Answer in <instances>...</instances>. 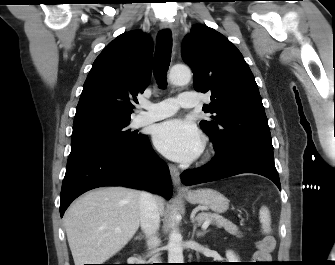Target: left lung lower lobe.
<instances>
[{
  "label": "left lung lower lobe",
  "mask_w": 335,
  "mask_h": 265,
  "mask_svg": "<svg viewBox=\"0 0 335 265\" xmlns=\"http://www.w3.org/2000/svg\"><path fill=\"white\" fill-rule=\"evenodd\" d=\"M241 173L265 176L281 190L273 150L252 143H235L216 151V156L210 163L201 168L184 171L181 179L185 185H194Z\"/></svg>",
  "instance_id": "left-lung-lower-lobe-1"
}]
</instances>
